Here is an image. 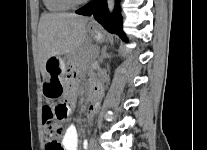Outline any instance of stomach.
Returning <instances> with one entry per match:
<instances>
[{
    "instance_id": "stomach-1",
    "label": "stomach",
    "mask_w": 207,
    "mask_h": 150,
    "mask_svg": "<svg viewBox=\"0 0 207 150\" xmlns=\"http://www.w3.org/2000/svg\"><path fill=\"white\" fill-rule=\"evenodd\" d=\"M87 32L96 41L102 39L100 29L94 25H89ZM65 69V61L60 56H52L47 60V74L42 84V90L46 98H63L72 92V86L63 80Z\"/></svg>"
}]
</instances>
